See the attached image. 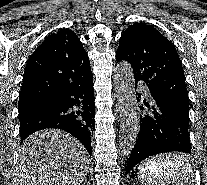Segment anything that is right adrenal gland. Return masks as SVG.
Masks as SVG:
<instances>
[{
    "instance_id": "1",
    "label": "right adrenal gland",
    "mask_w": 207,
    "mask_h": 185,
    "mask_svg": "<svg viewBox=\"0 0 207 185\" xmlns=\"http://www.w3.org/2000/svg\"><path fill=\"white\" fill-rule=\"evenodd\" d=\"M83 185H88L87 179H83Z\"/></svg>"
}]
</instances>
